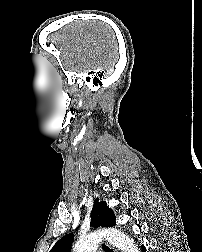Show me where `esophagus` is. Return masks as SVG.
Masks as SVG:
<instances>
[{"instance_id": "1", "label": "esophagus", "mask_w": 202, "mask_h": 252, "mask_svg": "<svg viewBox=\"0 0 202 252\" xmlns=\"http://www.w3.org/2000/svg\"><path fill=\"white\" fill-rule=\"evenodd\" d=\"M102 252H116L114 248L106 241H103L101 244Z\"/></svg>"}]
</instances>
